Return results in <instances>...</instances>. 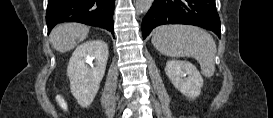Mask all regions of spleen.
Returning <instances> with one entry per match:
<instances>
[{
  "instance_id": "spleen-1",
  "label": "spleen",
  "mask_w": 273,
  "mask_h": 118,
  "mask_svg": "<svg viewBox=\"0 0 273 118\" xmlns=\"http://www.w3.org/2000/svg\"><path fill=\"white\" fill-rule=\"evenodd\" d=\"M152 44L166 56L195 58L206 77L213 76L215 72V41L209 33L200 28L161 26L154 31Z\"/></svg>"
}]
</instances>
